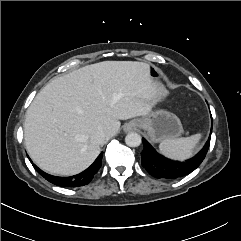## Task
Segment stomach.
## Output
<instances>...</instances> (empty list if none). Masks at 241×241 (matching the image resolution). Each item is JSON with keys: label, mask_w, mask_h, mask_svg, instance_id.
Instances as JSON below:
<instances>
[{"label": "stomach", "mask_w": 241, "mask_h": 241, "mask_svg": "<svg viewBox=\"0 0 241 241\" xmlns=\"http://www.w3.org/2000/svg\"><path fill=\"white\" fill-rule=\"evenodd\" d=\"M133 122L138 128L147 132L153 142H162L167 139H176L182 132L183 127L180 119L166 110H155Z\"/></svg>", "instance_id": "0dacf381"}]
</instances>
